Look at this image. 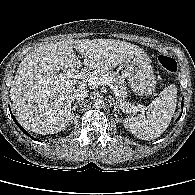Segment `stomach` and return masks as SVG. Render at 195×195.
<instances>
[{
  "label": "stomach",
  "mask_w": 195,
  "mask_h": 195,
  "mask_svg": "<svg viewBox=\"0 0 195 195\" xmlns=\"http://www.w3.org/2000/svg\"><path fill=\"white\" fill-rule=\"evenodd\" d=\"M124 77L127 79L134 93L150 95L155 91L156 80L147 54L136 55L126 61Z\"/></svg>",
  "instance_id": "0dacf381"
}]
</instances>
